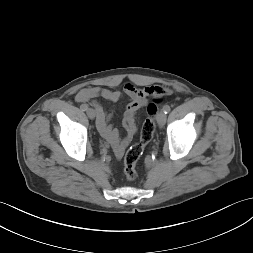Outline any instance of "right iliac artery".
<instances>
[{
    "label": "right iliac artery",
    "mask_w": 253,
    "mask_h": 253,
    "mask_svg": "<svg viewBox=\"0 0 253 253\" xmlns=\"http://www.w3.org/2000/svg\"><path fill=\"white\" fill-rule=\"evenodd\" d=\"M80 108H81L83 111H85V110L88 109V106H87L86 104H82V105L80 106Z\"/></svg>",
    "instance_id": "82829eb1"
}]
</instances>
